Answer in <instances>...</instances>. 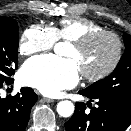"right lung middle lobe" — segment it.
<instances>
[{
	"label": "right lung middle lobe",
	"instance_id": "1",
	"mask_svg": "<svg viewBox=\"0 0 131 131\" xmlns=\"http://www.w3.org/2000/svg\"><path fill=\"white\" fill-rule=\"evenodd\" d=\"M18 29L15 18L0 17V84L9 82L17 68Z\"/></svg>",
	"mask_w": 131,
	"mask_h": 131
}]
</instances>
